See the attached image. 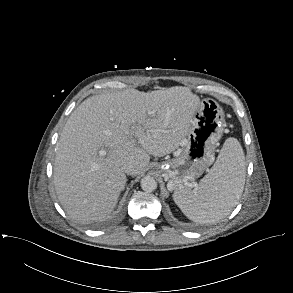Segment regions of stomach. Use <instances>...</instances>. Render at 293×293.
<instances>
[{"instance_id":"1","label":"stomach","mask_w":293,"mask_h":293,"mask_svg":"<svg viewBox=\"0 0 293 293\" xmlns=\"http://www.w3.org/2000/svg\"><path fill=\"white\" fill-rule=\"evenodd\" d=\"M224 126L222 107L212 98L203 99L174 158L160 166L170 191L186 188L213 163Z\"/></svg>"}]
</instances>
